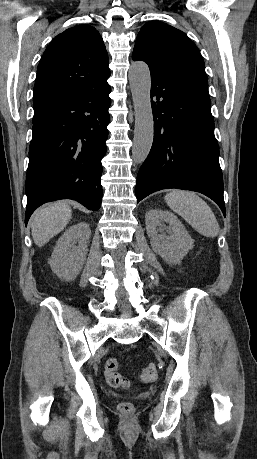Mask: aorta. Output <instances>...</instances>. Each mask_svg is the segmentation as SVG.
<instances>
[{
    "label": "aorta",
    "mask_w": 257,
    "mask_h": 459,
    "mask_svg": "<svg viewBox=\"0 0 257 459\" xmlns=\"http://www.w3.org/2000/svg\"><path fill=\"white\" fill-rule=\"evenodd\" d=\"M128 77L135 112L132 159L135 163L141 164L150 152L154 136L150 99L151 76L148 65L143 61L133 62Z\"/></svg>",
    "instance_id": "1"
}]
</instances>
